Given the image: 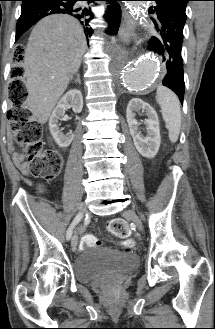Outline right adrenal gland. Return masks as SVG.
Wrapping results in <instances>:
<instances>
[{
    "mask_svg": "<svg viewBox=\"0 0 215 329\" xmlns=\"http://www.w3.org/2000/svg\"><path fill=\"white\" fill-rule=\"evenodd\" d=\"M74 82H77V83L81 84L80 75L79 74H76V79L74 80Z\"/></svg>",
    "mask_w": 215,
    "mask_h": 329,
    "instance_id": "right-adrenal-gland-1",
    "label": "right adrenal gland"
}]
</instances>
